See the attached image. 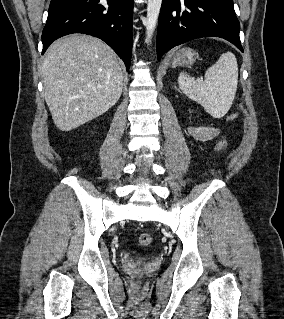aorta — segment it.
<instances>
[{"mask_svg": "<svg viewBox=\"0 0 284 319\" xmlns=\"http://www.w3.org/2000/svg\"><path fill=\"white\" fill-rule=\"evenodd\" d=\"M162 0H148L146 21V42L151 43L153 33L158 21Z\"/></svg>", "mask_w": 284, "mask_h": 319, "instance_id": "1", "label": "aorta"}]
</instances>
